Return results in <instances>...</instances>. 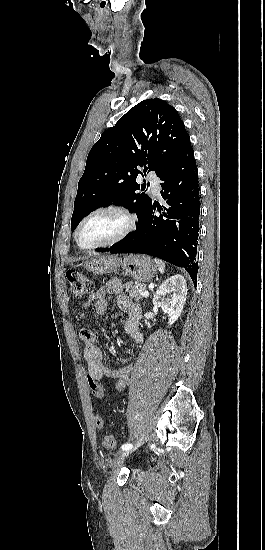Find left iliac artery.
<instances>
[{"mask_svg":"<svg viewBox=\"0 0 265 550\" xmlns=\"http://www.w3.org/2000/svg\"><path fill=\"white\" fill-rule=\"evenodd\" d=\"M138 416H139V414H137V415L135 416V419H137ZM132 448H133V445L130 444V443H129V444H128V443H127V444H124V445H122V447H121L122 450H130V449H132Z\"/></svg>","mask_w":265,"mask_h":550,"instance_id":"left-iliac-artery-1","label":"left iliac artery"}]
</instances>
